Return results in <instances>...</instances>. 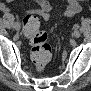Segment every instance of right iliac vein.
Here are the masks:
<instances>
[{"label": "right iliac vein", "instance_id": "right-iliac-vein-1", "mask_svg": "<svg viewBox=\"0 0 91 91\" xmlns=\"http://www.w3.org/2000/svg\"><path fill=\"white\" fill-rule=\"evenodd\" d=\"M14 28L19 31L20 30V25L19 24H14Z\"/></svg>", "mask_w": 91, "mask_h": 91}]
</instances>
